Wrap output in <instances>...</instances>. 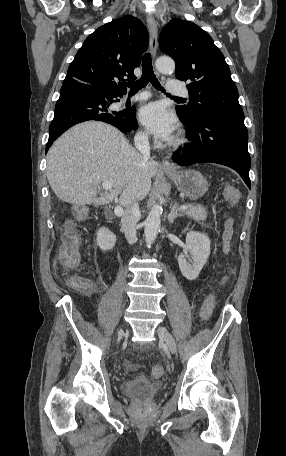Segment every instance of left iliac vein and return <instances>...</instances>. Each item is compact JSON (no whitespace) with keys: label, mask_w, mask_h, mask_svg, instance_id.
<instances>
[{"label":"left iliac vein","mask_w":286,"mask_h":456,"mask_svg":"<svg viewBox=\"0 0 286 456\" xmlns=\"http://www.w3.org/2000/svg\"><path fill=\"white\" fill-rule=\"evenodd\" d=\"M157 333L160 337V339L164 340L166 345L168 346L169 351L172 354H175L177 351V345L174 337L171 335V333L163 326H159L157 329Z\"/></svg>","instance_id":"4c4485c4"}]
</instances>
